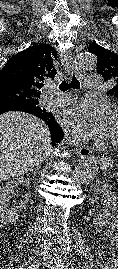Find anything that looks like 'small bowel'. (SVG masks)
I'll list each match as a JSON object with an SVG mask.
<instances>
[{
	"label": "small bowel",
	"mask_w": 118,
	"mask_h": 269,
	"mask_svg": "<svg viewBox=\"0 0 118 269\" xmlns=\"http://www.w3.org/2000/svg\"><path fill=\"white\" fill-rule=\"evenodd\" d=\"M118 218L115 220L113 227L106 231V236L109 242L118 248Z\"/></svg>",
	"instance_id": "small-bowel-1"
}]
</instances>
